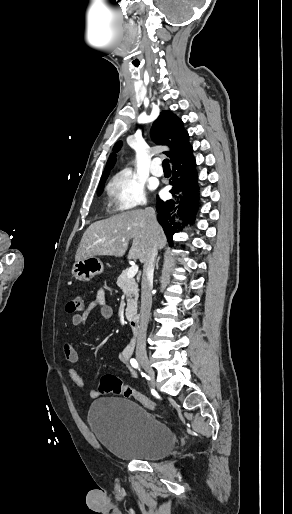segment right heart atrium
Listing matches in <instances>:
<instances>
[{
  "mask_svg": "<svg viewBox=\"0 0 292 514\" xmlns=\"http://www.w3.org/2000/svg\"><path fill=\"white\" fill-rule=\"evenodd\" d=\"M110 203L115 211L134 209L144 204L145 181L130 170L117 172L107 186Z\"/></svg>",
  "mask_w": 292,
  "mask_h": 514,
  "instance_id": "d8ad5b80",
  "label": "right heart atrium"
}]
</instances>
